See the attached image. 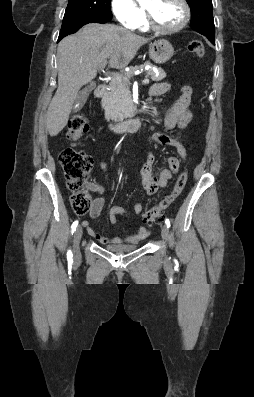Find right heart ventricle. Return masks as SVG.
Listing matches in <instances>:
<instances>
[{
	"mask_svg": "<svg viewBox=\"0 0 254 397\" xmlns=\"http://www.w3.org/2000/svg\"><path fill=\"white\" fill-rule=\"evenodd\" d=\"M138 28L141 29V30H143V31L147 30V25H146L145 20H143V21L141 22V24L138 26Z\"/></svg>",
	"mask_w": 254,
	"mask_h": 397,
	"instance_id": "obj_1",
	"label": "right heart ventricle"
}]
</instances>
